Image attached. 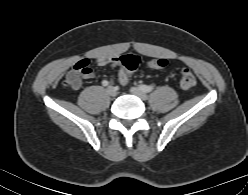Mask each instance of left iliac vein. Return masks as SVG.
Instances as JSON below:
<instances>
[{"label": "left iliac vein", "instance_id": "obj_1", "mask_svg": "<svg viewBox=\"0 0 248 195\" xmlns=\"http://www.w3.org/2000/svg\"><path fill=\"white\" fill-rule=\"evenodd\" d=\"M130 92H131L133 95L139 97V98L142 99V100H146L147 97H148L147 94H146L145 92H143L141 89H139V88H137V87H132V88H130Z\"/></svg>", "mask_w": 248, "mask_h": 195}]
</instances>
